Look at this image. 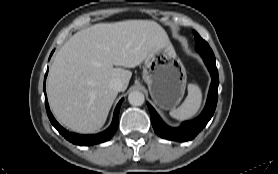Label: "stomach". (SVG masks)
<instances>
[{"label":"stomach","instance_id":"1","mask_svg":"<svg viewBox=\"0 0 278 174\" xmlns=\"http://www.w3.org/2000/svg\"><path fill=\"white\" fill-rule=\"evenodd\" d=\"M142 78L154 102L163 109H172L184 96L187 74L170 45L157 48L144 61Z\"/></svg>","mask_w":278,"mask_h":174}]
</instances>
